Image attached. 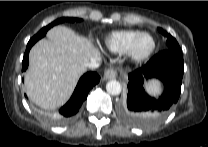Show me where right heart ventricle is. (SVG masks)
I'll list each match as a JSON object with an SVG mask.
<instances>
[{"mask_svg": "<svg viewBox=\"0 0 208 147\" xmlns=\"http://www.w3.org/2000/svg\"><path fill=\"white\" fill-rule=\"evenodd\" d=\"M140 33L135 29L113 31L105 37V45L111 52L125 53L131 41Z\"/></svg>", "mask_w": 208, "mask_h": 147, "instance_id": "right-heart-ventricle-1", "label": "right heart ventricle"}]
</instances>
